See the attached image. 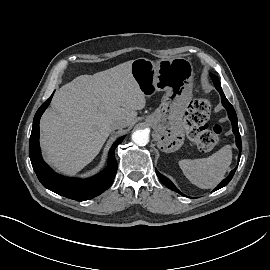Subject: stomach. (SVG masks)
Returning <instances> with one entry per match:
<instances>
[{
  "mask_svg": "<svg viewBox=\"0 0 270 270\" xmlns=\"http://www.w3.org/2000/svg\"><path fill=\"white\" fill-rule=\"evenodd\" d=\"M131 74L146 96L156 91L165 92L160 106L146 122L156 133L159 149L166 153L178 150L184 143L183 116L192 99L191 62L182 57L157 62L137 58L132 61Z\"/></svg>",
  "mask_w": 270,
  "mask_h": 270,
  "instance_id": "stomach-1",
  "label": "stomach"
}]
</instances>
